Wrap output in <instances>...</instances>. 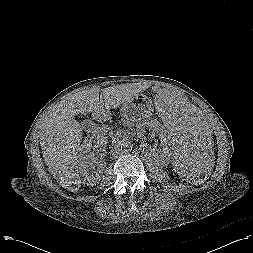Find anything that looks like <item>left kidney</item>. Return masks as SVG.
Instances as JSON below:
<instances>
[{
	"label": "left kidney",
	"mask_w": 253,
	"mask_h": 253,
	"mask_svg": "<svg viewBox=\"0 0 253 253\" xmlns=\"http://www.w3.org/2000/svg\"><path fill=\"white\" fill-rule=\"evenodd\" d=\"M146 129L151 130L155 136H158L160 138L163 152L162 155L170 159L172 156L169 148L170 135L168 134L166 128L155 119L146 120L137 126V134L141 139L145 138Z\"/></svg>",
	"instance_id": "left-kidney-1"
}]
</instances>
